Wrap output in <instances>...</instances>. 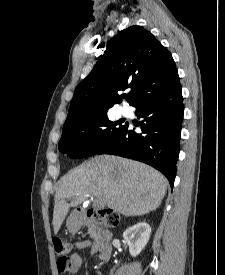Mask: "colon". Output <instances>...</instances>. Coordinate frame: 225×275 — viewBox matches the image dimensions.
Wrapping results in <instances>:
<instances>
[{"label":"colon","instance_id":"colon-1","mask_svg":"<svg viewBox=\"0 0 225 275\" xmlns=\"http://www.w3.org/2000/svg\"><path fill=\"white\" fill-rule=\"evenodd\" d=\"M93 220L105 228H114L119 223V215L111 210H101L94 214ZM55 253L59 256L57 268L60 275H66L70 272V262L67 257L71 250V243L61 238L53 239Z\"/></svg>","mask_w":225,"mask_h":275}]
</instances>
